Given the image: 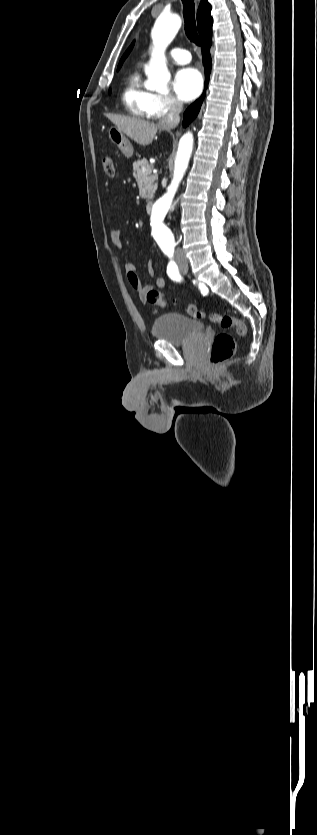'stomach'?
<instances>
[{
	"label": "stomach",
	"mask_w": 317,
	"mask_h": 835,
	"mask_svg": "<svg viewBox=\"0 0 317 835\" xmlns=\"http://www.w3.org/2000/svg\"><path fill=\"white\" fill-rule=\"evenodd\" d=\"M108 136L113 144H115L126 158L133 156V146L124 135V133L116 126L108 128Z\"/></svg>",
	"instance_id": "obj_1"
}]
</instances>
